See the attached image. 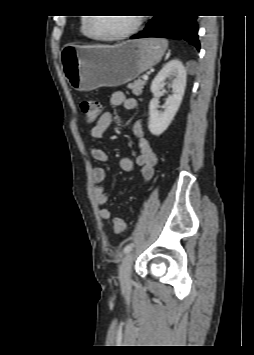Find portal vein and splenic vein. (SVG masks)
<instances>
[{
  "label": "portal vein and splenic vein",
  "instance_id": "18ae733b",
  "mask_svg": "<svg viewBox=\"0 0 254 355\" xmlns=\"http://www.w3.org/2000/svg\"><path fill=\"white\" fill-rule=\"evenodd\" d=\"M143 79L144 80H148V76L147 75H143Z\"/></svg>",
  "mask_w": 254,
  "mask_h": 355
}]
</instances>
